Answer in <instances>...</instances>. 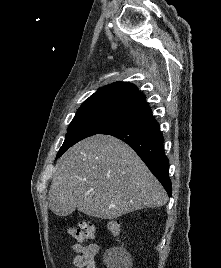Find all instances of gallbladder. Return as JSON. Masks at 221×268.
I'll return each instance as SVG.
<instances>
[{
  "mask_svg": "<svg viewBox=\"0 0 221 268\" xmlns=\"http://www.w3.org/2000/svg\"><path fill=\"white\" fill-rule=\"evenodd\" d=\"M75 203V199H54L51 202V213H56L57 217H69L70 213L79 209L78 205H72Z\"/></svg>",
  "mask_w": 221,
  "mask_h": 268,
  "instance_id": "1",
  "label": "gallbladder"
}]
</instances>
